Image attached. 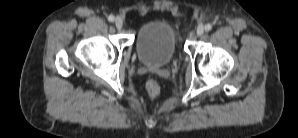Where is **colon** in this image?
<instances>
[{"mask_svg":"<svg viewBox=\"0 0 298 138\" xmlns=\"http://www.w3.org/2000/svg\"><path fill=\"white\" fill-rule=\"evenodd\" d=\"M160 88H159V84L157 81L155 80H149L146 83V92L147 94L154 98L159 94Z\"/></svg>","mask_w":298,"mask_h":138,"instance_id":"colon-1","label":"colon"}]
</instances>
